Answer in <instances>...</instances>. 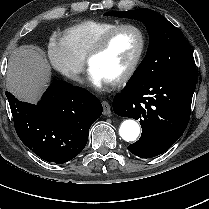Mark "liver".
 Instances as JSON below:
<instances>
[{"instance_id":"obj_1","label":"liver","mask_w":209,"mask_h":209,"mask_svg":"<svg viewBox=\"0 0 209 209\" xmlns=\"http://www.w3.org/2000/svg\"><path fill=\"white\" fill-rule=\"evenodd\" d=\"M51 77V67L44 52L37 46L16 48L8 62L6 85L17 98L36 102Z\"/></svg>"}]
</instances>
